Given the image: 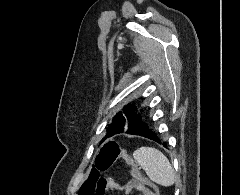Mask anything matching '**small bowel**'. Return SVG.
<instances>
[{"label":"small bowel","instance_id":"1","mask_svg":"<svg viewBox=\"0 0 240 195\" xmlns=\"http://www.w3.org/2000/svg\"><path fill=\"white\" fill-rule=\"evenodd\" d=\"M136 177L131 178L126 184L122 186V190L125 195H131L132 192L137 191L140 195H149L147 189L150 186H142V182H136Z\"/></svg>","mask_w":240,"mask_h":195}]
</instances>
